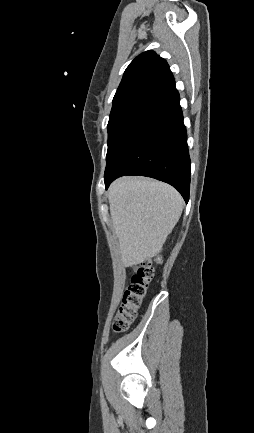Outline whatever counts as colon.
Here are the masks:
<instances>
[{"mask_svg":"<svg viewBox=\"0 0 254 433\" xmlns=\"http://www.w3.org/2000/svg\"><path fill=\"white\" fill-rule=\"evenodd\" d=\"M153 276L154 268L151 262L142 263L132 275L130 285L124 293L113 322L112 328L115 333L126 331L135 319Z\"/></svg>","mask_w":254,"mask_h":433,"instance_id":"1","label":"colon"}]
</instances>
